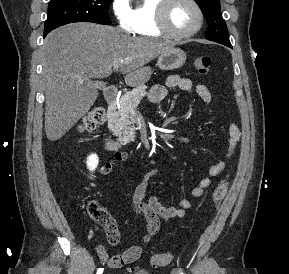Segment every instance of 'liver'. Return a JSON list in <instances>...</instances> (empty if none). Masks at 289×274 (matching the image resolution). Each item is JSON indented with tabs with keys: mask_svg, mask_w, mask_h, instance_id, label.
I'll list each match as a JSON object with an SVG mask.
<instances>
[{
	"mask_svg": "<svg viewBox=\"0 0 289 274\" xmlns=\"http://www.w3.org/2000/svg\"><path fill=\"white\" fill-rule=\"evenodd\" d=\"M172 48L93 23H72L50 32L42 46L47 138L60 139L88 113L98 97L93 78L110 76L116 64L127 85H141L151 75L145 65Z\"/></svg>",
	"mask_w": 289,
	"mask_h": 274,
	"instance_id": "liver-1",
	"label": "liver"
}]
</instances>
